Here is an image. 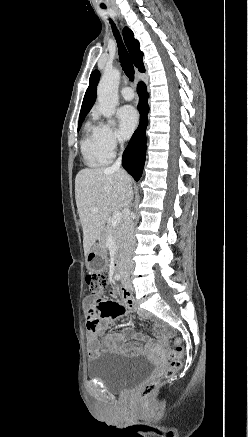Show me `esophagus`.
<instances>
[{
	"label": "esophagus",
	"instance_id": "1",
	"mask_svg": "<svg viewBox=\"0 0 248 437\" xmlns=\"http://www.w3.org/2000/svg\"><path fill=\"white\" fill-rule=\"evenodd\" d=\"M137 83H138V79H136L135 85H137Z\"/></svg>",
	"mask_w": 248,
	"mask_h": 437
}]
</instances>
